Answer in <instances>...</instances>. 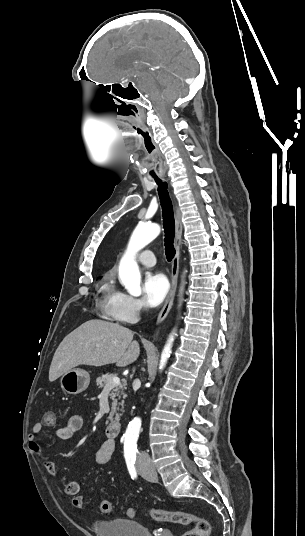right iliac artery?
I'll list each match as a JSON object with an SVG mask.
<instances>
[{
    "mask_svg": "<svg viewBox=\"0 0 305 536\" xmlns=\"http://www.w3.org/2000/svg\"><path fill=\"white\" fill-rule=\"evenodd\" d=\"M125 459H126V464H127V468H128V471L131 475V478L134 479L137 477V474H136V470H135V467H134V464H135V458H132V457H129L128 455H125Z\"/></svg>",
    "mask_w": 305,
    "mask_h": 536,
    "instance_id": "obj_1",
    "label": "right iliac artery"
}]
</instances>
